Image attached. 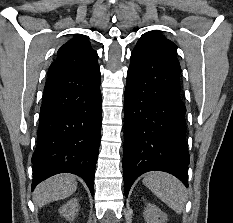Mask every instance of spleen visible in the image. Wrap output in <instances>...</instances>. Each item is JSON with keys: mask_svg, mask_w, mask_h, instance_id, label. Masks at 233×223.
Returning a JSON list of instances; mask_svg holds the SVG:
<instances>
[{"mask_svg": "<svg viewBox=\"0 0 233 223\" xmlns=\"http://www.w3.org/2000/svg\"><path fill=\"white\" fill-rule=\"evenodd\" d=\"M143 183L177 213H181L182 209H184L187 189L174 175L163 173V171H149L144 175Z\"/></svg>", "mask_w": 233, "mask_h": 223, "instance_id": "spleen-1", "label": "spleen"}]
</instances>
